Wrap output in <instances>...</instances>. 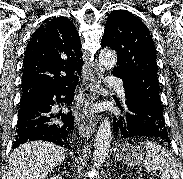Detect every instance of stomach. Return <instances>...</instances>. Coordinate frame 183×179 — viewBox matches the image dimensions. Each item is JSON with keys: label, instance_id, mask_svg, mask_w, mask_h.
I'll return each instance as SVG.
<instances>
[{"label": "stomach", "instance_id": "obj_1", "mask_svg": "<svg viewBox=\"0 0 183 179\" xmlns=\"http://www.w3.org/2000/svg\"><path fill=\"white\" fill-rule=\"evenodd\" d=\"M116 160L122 161L127 167L135 166L144 159V152L141 146L130 144H119L114 150Z\"/></svg>", "mask_w": 183, "mask_h": 179}]
</instances>
